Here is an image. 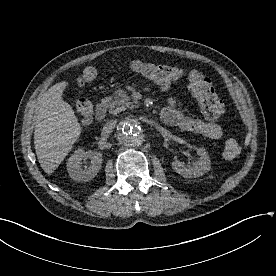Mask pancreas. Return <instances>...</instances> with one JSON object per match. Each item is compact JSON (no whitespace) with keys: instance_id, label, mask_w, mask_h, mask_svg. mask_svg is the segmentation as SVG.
<instances>
[{"instance_id":"cf45deb5","label":"pancreas","mask_w":276,"mask_h":276,"mask_svg":"<svg viewBox=\"0 0 276 276\" xmlns=\"http://www.w3.org/2000/svg\"><path fill=\"white\" fill-rule=\"evenodd\" d=\"M109 113L117 115L118 113L124 111L126 108L131 106V98L125 91L119 90L115 96L114 100L112 97L107 98Z\"/></svg>"}]
</instances>
